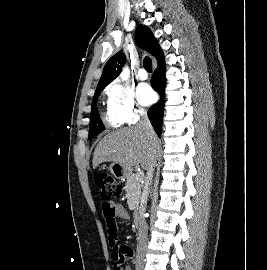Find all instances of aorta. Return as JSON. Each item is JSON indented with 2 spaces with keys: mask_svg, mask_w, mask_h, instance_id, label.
Returning a JSON list of instances; mask_svg holds the SVG:
<instances>
[{
  "mask_svg": "<svg viewBox=\"0 0 267 270\" xmlns=\"http://www.w3.org/2000/svg\"><path fill=\"white\" fill-rule=\"evenodd\" d=\"M130 75V71L128 69V67H125L120 75L122 80H127L129 78Z\"/></svg>",
  "mask_w": 267,
  "mask_h": 270,
  "instance_id": "1",
  "label": "aorta"
}]
</instances>
